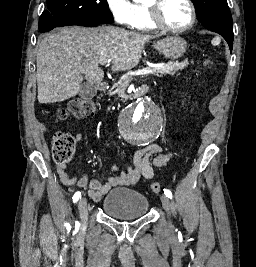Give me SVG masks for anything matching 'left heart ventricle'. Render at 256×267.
Returning a JSON list of instances; mask_svg holds the SVG:
<instances>
[{"mask_svg":"<svg viewBox=\"0 0 256 267\" xmlns=\"http://www.w3.org/2000/svg\"><path fill=\"white\" fill-rule=\"evenodd\" d=\"M158 15L162 23L175 28H182L190 22L191 14L188 6L181 0H167L161 4ZM141 31L152 29V23L143 21Z\"/></svg>","mask_w":256,"mask_h":267,"instance_id":"b2bd125f","label":"left heart ventricle"}]
</instances>
